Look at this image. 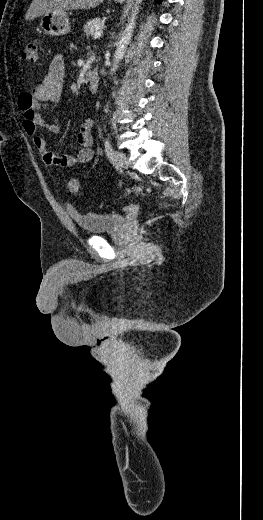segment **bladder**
I'll return each instance as SVG.
<instances>
[{
  "instance_id": "bladder-1",
  "label": "bladder",
  "mask_w": 263,
  "mask_h": 520,
  "mask_svg": "<svg viewBox=\"0 0 263 520\" xmlns=\"http://www.w3.org/2000/svg\"><path fill=\"white\" fill-rule=\"evenodd\" d=\"M77 226L86 234L117 232L125 228L127 218L119 213H83L73 216Z\"/></svg>"
}]
</instances>
